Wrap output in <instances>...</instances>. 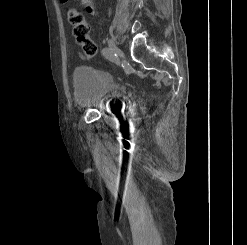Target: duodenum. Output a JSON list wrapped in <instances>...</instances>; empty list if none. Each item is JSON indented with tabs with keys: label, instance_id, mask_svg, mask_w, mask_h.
I'll list each match as a JSON object with an SVG mask.
<instances>
[{
	"label": "duodenum",
	"instance_id": "410a0bca",
	"mask_svg": "<svg viewBox=\"0 0 247 245\" xmlns=\"http://www.w3.org/2000/svg\"><path fill=\"white\" fill-rule=\"evenodd\" d=\"M83 2H87V1H89V0H82Z\"/></svg>",
	"mask_w": 247,
	"mask_h": 245
}]
</instances>
